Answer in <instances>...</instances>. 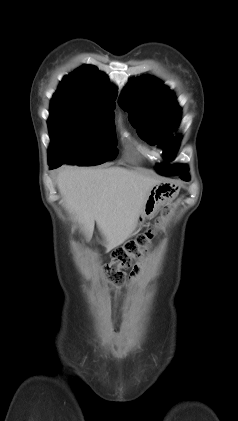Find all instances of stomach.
<instances>
[{"label":"stomach","instance_id":"1","mask_svg":"<svg viewBox=\"0 0 238 421\" xmlns=\"http://www.w3.org/2000/svg\"><path fill=\"white\" fill-rule=\"evenodd\" d=\"M176 187L173 184L160 182L154 185L148 192L143 210L138 217L137 224L141 225L146 218L153 216L160 205L176 195Z\"/></svg>","mask_w":238,"mask_h":421}]
</instances>
